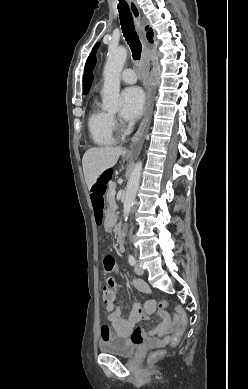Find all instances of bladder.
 <instances>
[{"mask_svg": "<svg viewBox=\"0 0 248 389\" xmlns=\"http://www.w3.org/2000/svg\"><path fill=\"white\" fill-rule=\"evenodd\" d=\"M99 350L104 355H115L129 358L136 352V346L128 342L127 339L112 334L99 344Z\"/></svg>", "mask_w": 248, "mask_h": 389, "instance_id": "31cf9c89", "label": "bladder"}]
</instances>
